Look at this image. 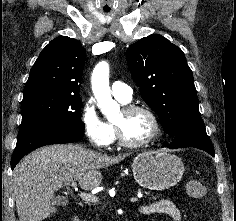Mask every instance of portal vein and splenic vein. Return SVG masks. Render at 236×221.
<instances>
[{
	"label": "portal vein and splenic vein",
	"mask_w": 236,
	"mask_h": 221,
	"mask_svg": "<svg viewBox=\"0 0 236 221\" xmlns=\"http://www.w3.org/2000/svg\"><path fill=\"white\" fill-rule=\"evenodd\" d=\"M71 186L73 188H76L77 184L76 182H72ZM80 197L82 200H84L85 202H91V203H96L98 201V198L90 193H86V192H81L80 193ZM139 200L138 197H132L130 198L131 202H137Z\"/></svg>",
	"instance_id": "18ae733b"
}]
</instances>
